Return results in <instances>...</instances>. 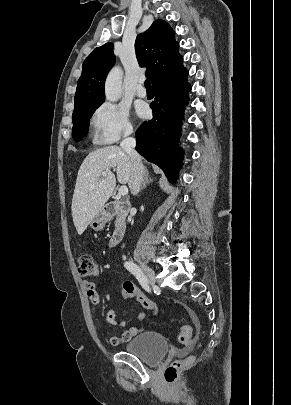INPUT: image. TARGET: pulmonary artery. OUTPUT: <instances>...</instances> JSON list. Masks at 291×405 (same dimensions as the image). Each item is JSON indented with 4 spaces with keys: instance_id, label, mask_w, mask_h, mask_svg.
Segmentation results:
<instances>
[{
    "instance_id": "e3ab8cb5",
    "label": "pulmonary artery",
    "mask_w": 291,
    "mask_h": 405,
    "mask_svg": "<svg viewBox=\"0 0 291 405\" xmlns=\"http://www.w3.org/2000/svg\"><path fill=\"white\" fill-rule=\"evenodd\" d=\"M136 94L140 98H144L147 95L146 89L143 86V80H139L137 87H136Z\"/></svg>"
}]
</instances>
